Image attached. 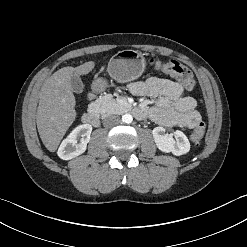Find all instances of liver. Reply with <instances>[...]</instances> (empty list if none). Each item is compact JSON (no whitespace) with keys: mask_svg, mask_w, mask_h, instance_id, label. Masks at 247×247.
<instances>
[{"mask_svg":"<svg viewBox=\"0 0 247 247\" xmlns=\"http://www.w3.org/2000/svg\"><path fill=\"white\" fill-rule=\"evenodd\" d=\"M94 66V61H89L77 67H63L44 82L39 93L36 123L40 138L50 152L57 150L77 115L71 77L86 75Z\"/></svg>","mask_w":247,"mask_h":247,"instance_id":"6515ba94","label":"liver"}]
</instances>
